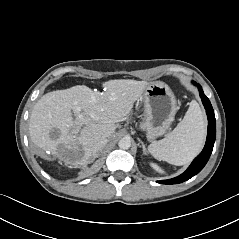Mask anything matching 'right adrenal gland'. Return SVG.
Wrapping results in <instances>:
<instances>
[{
	"label": "right adrenal gland",
	"instance_id": "right-adrenal-gland-1",
	"mask_svg": "<svg viewBox=\"0 0 239 239\" xmlns=\"http://www.w3.org/2000/svg\"><path fill=\"white\" fill-rule=\"evenodd\" d=\"M95 158H97V156H94L93 159H92V161H93Z\"/></svg>",
	"mask_w": 239,
	"mask_h": 239
}]
</instances>
